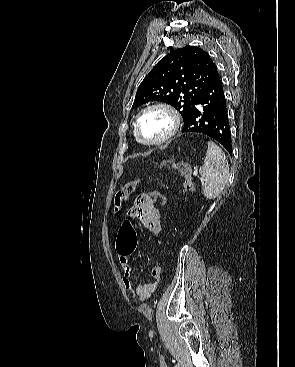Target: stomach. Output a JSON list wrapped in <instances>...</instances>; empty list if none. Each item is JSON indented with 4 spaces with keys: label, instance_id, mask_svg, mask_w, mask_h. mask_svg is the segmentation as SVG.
Masks as SVG:
<instances>
[{
    "label": "stomach",
    "instance_id": "stomach-1",
    "mask_svg": "<svg viewBox=\"0 0 295 367\" xmlns=\"http://www.w3.org/2000/svg\"><path fill=\"white\" fill-rule=\"evenodd\" d=\"M168 162H171V161H170V160H167V161H166V160H164V161H162V162H161V164H160V165H161V166L166 165V163H168Z\"/></svg>",
    "mask_w": 295,
    "mask_h": 367
}]
</instances>
